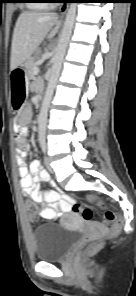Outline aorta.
Listing matches in <instances>:
<instances>
[{
    "instance_id": "aorta-1",
    "label": "aorta",
    "mask_w": 136,
    "mask_h": 296,
    "mask_svg": "<svg viewBox=\"0 0 136 296\" xmlns=\"http://www.w3.org/2000/svg\"><path fill=\"white\" fill-rule=\"evenodd\" d=\"M77 3H70L67 9L66 18L62 33L55 50V55L52 59V67L49 75L48 86L45 92V96L42 102V107L38 117V135L39 139H45L47 116L50 101L60 75L63 59L66 53L68 43L72 34L75 17H76Z\"/></svg>"
}]
</instances>
